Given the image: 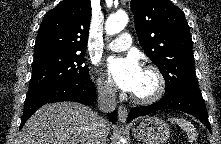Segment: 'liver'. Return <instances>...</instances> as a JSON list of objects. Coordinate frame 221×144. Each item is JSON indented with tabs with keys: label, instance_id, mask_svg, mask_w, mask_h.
Masks as SVG:
<instances>
[{
	"label": "liver",
	"instance_id": "obj_1",
	"mask_svg": "<svg viewBox=\"0 0 221 144\" xmlns=\"http://www.w3.org/2000/svg\"><path fill=\"white\" fill-rule=\"evenodd\" d=\"M97 116L91 108L79 103L46 104L27 120L19 144H92ZM104 130L108 135V122Z\"/></svg>",
	"mask_w": 221,
	"mask_h": 144
}]
</instances>
